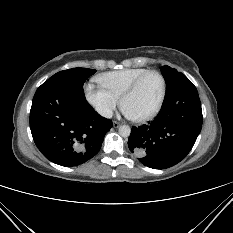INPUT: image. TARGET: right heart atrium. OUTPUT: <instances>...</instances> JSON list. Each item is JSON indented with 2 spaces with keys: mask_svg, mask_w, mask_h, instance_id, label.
Listing matches in <instances>:
<instances>
[{
  "mask_svg": "<svg viewBox=\"0 0 233 233\" xmlns=\"http://www.w3.org/2000/svg\"><path fill=\"white\" fill-rule=\"evenodd\" d=\"M85 96L95 111L105 118H109L113 114L119 102L118 97L104 87L96 86L93 83L85 86Z\"/></svg>",
  "mask_w": 233,
  "mask_h": 233,
  "instance_id": "right-heart-atrium-1",
  "label": "right heart atrium"
}]
</instances>
